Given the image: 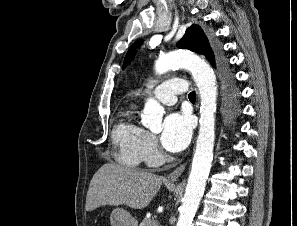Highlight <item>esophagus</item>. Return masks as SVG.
<instances>
[{"label":"esophagus","instance_id":"obj_1","mask_svg":"<svg viewBox=\"0 0 297 226\" xmlns=\"http://www.w3.org/2000/svg\"><path fill=\"white\" fill-rule=\"evenodd\" d=\"M186 164H182L178 166L175 170H173L170 174L167 176V181L169 182H175L179 179V177L182 175L184 169H185Z\"/></svg>","mask_w":297,"mask_h":226}]
</instances>
